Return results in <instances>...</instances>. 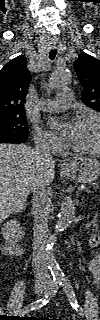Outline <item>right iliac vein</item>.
Returning a JSON list of instances; mask_svg holds the SVG:
<instances>
[{"label": "right iliac vein", "mask_w": 100, "mask_h": 320, "mask_svg": "<svg viewBox=\"0 0 100 320\" xmlns=\"http://www.w3.org/2000/svg\"><path fill=\"white\" fill-rule=\"evenodd\" d=\"M48 288V285H45L43 283H38L35 286V292L37 294V296L42 295V293H44Z\"/></svg>", "instance_id": "1"}]
</instances>
